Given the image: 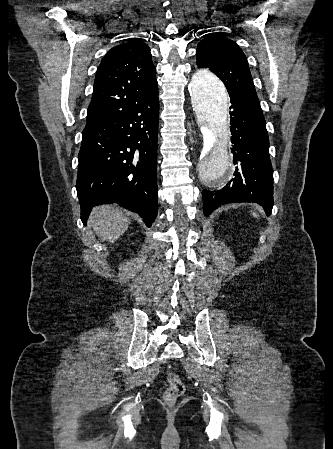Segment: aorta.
<instances>
[{
    "label": "aorta",
    "mask_w": 333,
    "mask_h": 449,
    "mask_svg": "<svg viewBox=\"0 0 333 449\" xmlns=\"http://www.w3.org/2000/svg\"><path fill=\"white\" fill-rule=\"evenodd\" d=\"M192 105L199 124L205 127L209 147L196 159V176L210 190L224 186L230 171L229 97L223 83L209 69L197 68L190 83Z\"/></svg>",
    "instance_id": "1"
}]
</instances>
